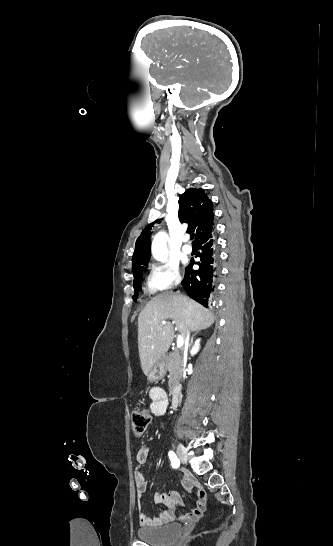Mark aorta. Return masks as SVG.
Listing matches in <instances>:
<instances>
[{"instance_id":"obj_1","label":"aorta","mask_w":333,"mask_h":546,"mask_svg":"<svg viewBox=\"0 0 333 546\" xmlns=\"http://www.w3.org/2000/svg\"><path fill=\"white\" fill-rule=\"evenodd\" d=\"M168 239V235L165 232H159L156 234V236L153 239L151 252L153 257L157 261L164 262L165 261V254H166V242Z\"/></svg>"}]
</instances>
